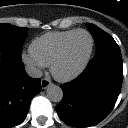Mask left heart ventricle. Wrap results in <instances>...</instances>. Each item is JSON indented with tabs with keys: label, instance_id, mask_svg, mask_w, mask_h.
<instances>
[{
	"label": "left heart ventricle",
	"instance_id": "obj_1",
	"mask_svg": "<svg viewBox=\"0 0 128 128\" xmlns=\"http://www.w3.org/2000/svg\"><path fill=\"white\" fill-rule=\"evenodd\" d=\"M90 47V39L85 33L76 34L69 42L64 57L57 67V72L67 75L83 62Z\"/></svg>",
	"mask_w": 128,
	"mask_h": 128
}]
</instances>
